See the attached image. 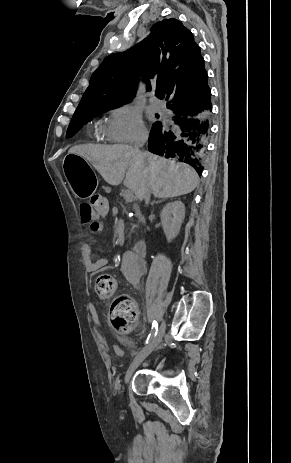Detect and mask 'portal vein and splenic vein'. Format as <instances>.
<instances>
[{
    "instance_id": "1",
    "label": "portal vein and splenic vein",
    "mask_w": 291,
    "mask_h": 463,
    "mask_svg": "<svg viewBox=\"0 0 291 463\" xmlns=\"http://www.w3.org/2000/svg\"><path fill=\"white\" fill-rule=\"evenodd\" d=\"M124 199L127 201V202H131L133 199H134V195H133V192L131 189H125L124 191Z\"/></svg>"
}]
</instances>
